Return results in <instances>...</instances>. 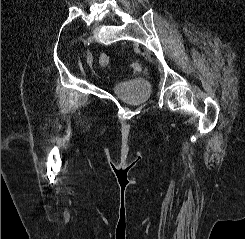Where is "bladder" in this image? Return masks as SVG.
<instances>
[{
    "instance_id": "obj_1",
    "label": "bladder",
    "mask_w": 245,
    "mask_h": 239,
    "mask_svg": "<svg viewBox=\"0 0 245 239\" xmlns=\"http://www.w3.org/2000/svg\"><path fill=\"white\" fill-rule=\"evenodd\" d=\"M110 90L113 95L127 103L141 105L149 102L152 86L138 79H132L113 83Z\"/></svg>"
}]
</instances>
